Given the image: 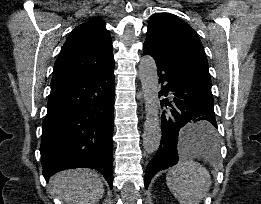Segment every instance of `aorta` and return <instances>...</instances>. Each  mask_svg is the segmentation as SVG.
Listing matches in <instances>:
<instances>
[{
  "label": "aorta",
  "mask_w": 261,
  "mask_h": 204,
  "mask_svg": "<svg viewBox=\"0 0 261 204\" xmlns=\"http://www.w3.org/2000/svg\"><path fill=\"white\" fill-rule=\"evenodd\" d=\"M139 76L144 94L146 119L143 146L148 154L155 153L161 141V120L158 101V75L155 60L144 55L139 63Z\"/></svg>",
  "instance_id": "762f6f07"
}]
</instances>
